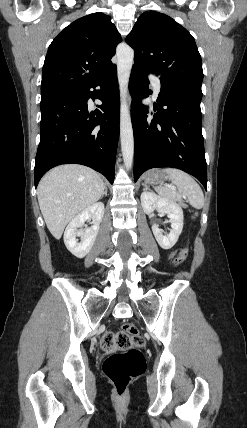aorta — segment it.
<instances>
[{
    "label": "aorta",
    "mask_w": 247,
    "mask_h": 428,
    "mask_svg": "<svg viewBox=\"0 0 247 428\" xmlns=\"http://www.w3.org/2000/svg\"><path fill=\"white\" fill-rule=\"evenodd\" d=\"M134 51L127 45L117 50V72L120 91V139L121 150L126 168H131L134 156V136L127 104L129 77L133 65Z\"/></svg>",
    "instance_id": "obj_1"
}]
</instances>
